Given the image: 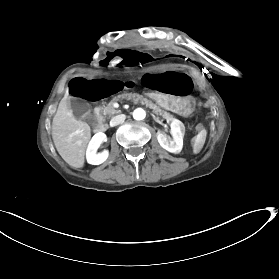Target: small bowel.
Segmentation results:
<instances>
[{
	"instance_id": "1",
	"label": "small bowel",
	"mask_w": 279,
	"mask_h": 279,
	"mask_svg": "<svg viewBox=\"0 0 279 279\" xmlns=\"http://www.w3.org/2000/svg\"><path fill=\"white\" fill-rule=\"evenodd\" d=\"M141 82L148 92L173 96L186 95L191 88L190 77L177 71L148 73L142 77Z\"/></svg>"
}]
</instances>
